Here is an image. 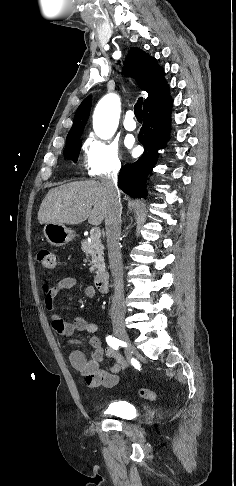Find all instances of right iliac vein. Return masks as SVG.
I'll use <instances>...</instances> for the list:
<instances>
[{"label": "right iliac vein", "instance_id": "1", "mask_svg": "<svg viewBox=\"0 0 236 486\" xmlns=\"http://www.w3.org/2000/svg\"><path fill=\"white\" fill-rule=\"evenodd\" d=\"M113 331L117 338L123 341L127 345V353L128 357L131 356L133 348L131 341L129 339L128 333L126 331L125 325L123 320L121 319H114L113 320Z\"/></svg>", "mask_w": 236, "mask_h": 486}]
</instances>
